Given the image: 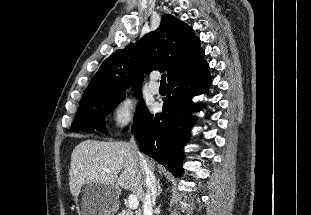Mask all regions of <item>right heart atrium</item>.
I'll return each instance as SVG.
<instances>
[{
	"label": "right heart atrium",
	"instance_id": "obj_1",
	"mask_svg": "<svg viewBox=\"0 0 311 215\" xmlns=\"http://www.w3.org/2000/svg\"><path fill=\"white\" fill-rule=\"evenodd\" d=\"M137 110V102L131 96H125L119 100L110 114L114 129L124 130L131 127L136 119Z\"/></svg>",
	"mask_w": 311,
	"mask_h": 215
}]
</instances>
